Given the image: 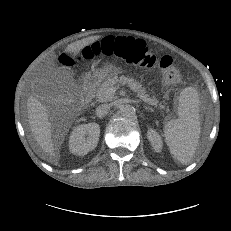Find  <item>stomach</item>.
<instances>
[{"instance_id":"1","label":"stomach","mask_w":231,"mask_h":231,"mask_svg":"<svg viewBox=\"0 0 231 231\" xmlns=\"http://www.w3.org/2000/svg\"><path fill=\"white\" fill-rule=\"evenodd\" d=\"M115 73H118L116 67L112 64H106L102 68L93 66L91 71L88 72L87 77L92 80L100 81Z\"/></svg>"}]
</instances>
